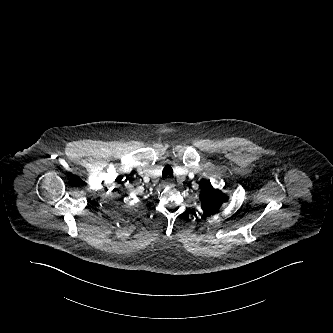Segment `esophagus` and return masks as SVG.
<instances>
[{
	"label": "esophagus",
	"instance_id": "34e87169",
	"mask_svg": "<svg viewBox=\"0 0 333 333\" xmlns=\"http://www.w3.org/2000/svg\"><path fill=\"white\" fill-rule=\"evenodd\" d=\"M165 184L168 185V186H174V183L172 182V180L170 178H167L165 180Z\"/></svg>",
	"mask_w": 333,
	"mask_h": 333
}]
</instances>
